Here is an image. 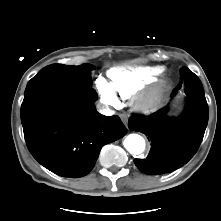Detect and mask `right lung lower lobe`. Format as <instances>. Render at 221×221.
<instances>
[{
	"label": "right lung lower lobe",
	"mask_w": 221,
	"mask_h": 221,
	"mask_svg": "<svg viewBox=\"0 0 221 221\" xmlns=\"http://www.w3.org/2000/svg\"><path fill=\"white\" fill-rule=\"evenodd\" d=\"M91 86L29 81L21 106L27 147L45 168L63 177H82L95 165L101 148L127 129L118 116L97 112Z\"/></svg>",
	"instance_id": "obj_1"
}]
</instances>
